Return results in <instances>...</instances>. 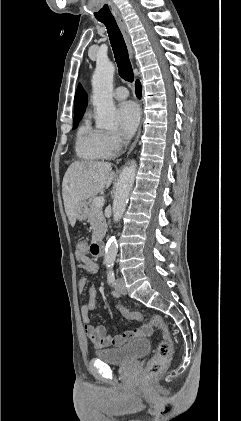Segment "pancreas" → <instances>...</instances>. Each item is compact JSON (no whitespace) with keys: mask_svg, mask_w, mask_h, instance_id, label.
I'll return each mask as SVG.
<instances>
[{"mask_svg":"<svg viewBox=\"0 0 241 421\" xmlns=\"http://www.w3.org/2000/svg\"><path fill=\"white\" fill-rule=\"evenodd\" d=\"M94 199L95 198H90L87 202L89 206L87 218L93 230L92 238L99 239L105 235L107 225L102 212V207L95 206Z\"/></svg>","mask_w":241,"mask_h":421,"instance_id":"cf45deb5","label":"pancreas"}]
</instances>
